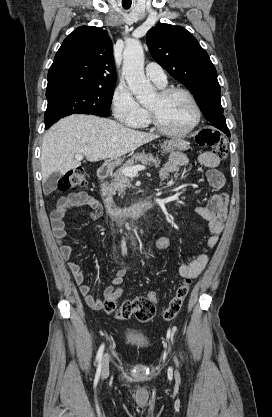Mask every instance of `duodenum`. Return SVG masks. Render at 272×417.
<instances>
[{
	"instance_id": "1",
	"label": "duodenum",
	"mask_w": 272,
	"mask_h": 417,
	"mask_svg": "<svg viewBox=\"0 0 272 417\" xmlns=\"http://www.w3.org/2000/svg\"><path fill=\"white\" fill-rule=\"evenodd\" d=\"M112 170V163H104L97 169V177L103 180ZM102 196L107 214L116 220L141 215L154 205L153 199L147 197L129 206H119L114 202L111 193L106 188L102 190Z\"/></svg>"
}]
</instances>
